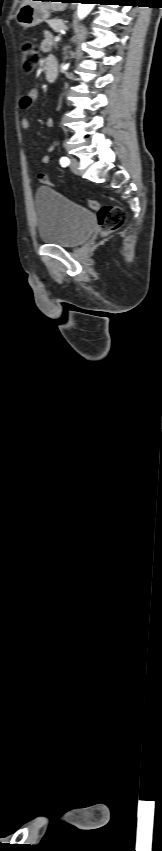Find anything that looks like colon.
<instances>
[{
	"mask_svg": "<svg viewBox=\"0 0 162 851\" xmlns=\"http://www.w3.org/2000/svg\"><path fill=\"white\" fill-rule=\"evenodd\" d=\"M22 66L24 71L32 72L38 63V51L31 39H24L21 43ZM39 180L43 184H48V178L45 174H39ZM89 206L98 212V222L103 234H109L118 230L125 220L123 209L117 205H101L98 200H88Z\"/></svg>",
	"mask_w": 162,
	"mask_h": 851,
	"instance_id": "obj_1",
	"label": "colon"
}]
</instances>
